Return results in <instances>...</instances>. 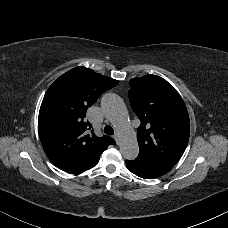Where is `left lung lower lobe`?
Masks as SVG:
<instances>
[{
  "label": "left lung lower lobe",
  "mask_w": 228,
  "mask_h": 228,
  "mask_svg": "<svg viewBox=\"0 0 228 228\" xmlns=\"http://www.w3.org/2000/svg\"><path fill=\"white\" fill-rule=\"evenodd\" d=\"M127 168L139 177L153 179L169 172L173 166L149 158L138 156L135 160H126Z\"/></svg>",
  "instance_id": "0a47b994"
}]
</instances>
